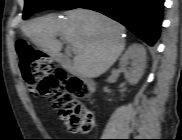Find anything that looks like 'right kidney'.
<instances>
[{
	"label": "right kidney",
	"mask_w": 182,
	"mask_h": 140,
	"mask_svg": "<svg viewBox=\"0 0 182 140\" xmlns=\"http://www.w3.org/2000/svg\"><path fill=\"white\" fill-rule=\"evenodd\" d=\"M130 64L131 67L127 68ZM125 79L131 85H136L143 76L146 67V50L140 44H132L120 59Z\"/></svg>",
	"instance_id": "ca27d5eb"
}]
</instances>
